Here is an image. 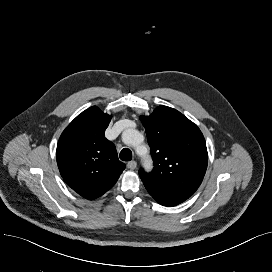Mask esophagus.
Listing matches in <instances>:
<instances>
[{"mask_svg": "<svg viewBox=\"0 0 272 272\" xmlns=\"http://www.w3.org/2000/svg\"><path fill=\"white\" fill-rule=\"evenodd\" d=\"M136 166H137L136 161H130V162H128V164H127V167H128L129 169H131V170H134V169L136 168Z\"/></svg>", "mask_w": 272, "mask_h": 272, "instance_id": "1", "label": "esophagus"}]
</instances>
